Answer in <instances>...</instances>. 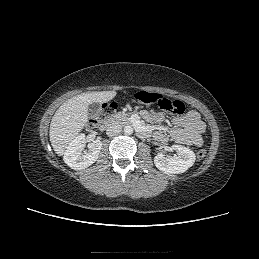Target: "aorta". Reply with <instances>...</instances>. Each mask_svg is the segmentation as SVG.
Returning a JSON list of instances; mask_svg holds the SVG:
<instances>
[{
  "instance_id": "762f6f07",
  "label": "aorta",
  "mask_w": 259,
  "mask_h": 259,
  "mask_svg": "<svg viewBox=\"0 0 259 259\" xmlns=\"http://www.w3.org/2000/svg\"><path fill=\"white\" fill-rule=\"evenodd\" d=\"M124 133L127 135H131L133 133V127L130 125H126L124 127Z\"/></svg>"
}]
</instances>
